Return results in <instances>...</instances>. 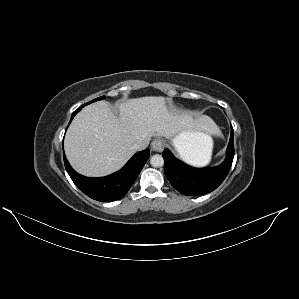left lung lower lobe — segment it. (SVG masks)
<instances>
[{
	"label": "left lung lower lobe",
	"instance_id": "1",
	"mask_svg": "<svg viewBox=\"0 0 299 299\" xmlns=\"http://www.w3.org/2000/svg\"><path fill=\"white\" fill-rule=\"evenodd\" d=\"M234 130L227 147L225 161L214 168L197 169L176 159L169 149L163 151L164 171L171 185L187 196H197L215 190L227 176L234 158Z\"/></svg>",
	"mask_w": 299,
	"mask_h": 299
}]
</instances>
